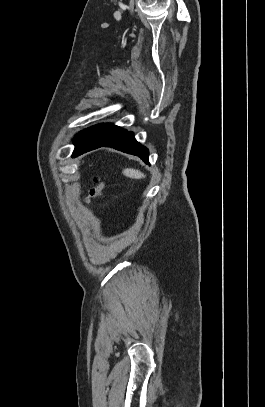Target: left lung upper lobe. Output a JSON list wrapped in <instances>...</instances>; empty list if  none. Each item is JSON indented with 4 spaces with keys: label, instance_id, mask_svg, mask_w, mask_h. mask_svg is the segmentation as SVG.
Masks as SVG:
<instances>
[{
    "label": "left lung upper lobe",
    "instance_id": "1",
    "mask_svg": "<svg viewBox=\"0 0 265 407\" xmlns=\"http://www.w3.org/2000/svg\"><path fill=\"white\" fill-rule=\"evenodd\" d=\"M124 131L125 129L113 124H98L87 128L79 132L76 136L74 152L90 148L93 145L105 143Z\"/></svg>",
    "mask_w": 265,
    "mask_h": 407
}]
</instances>
